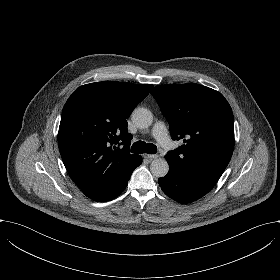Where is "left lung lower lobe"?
<instances>
[{"label":"left lung lower lobe","instance_id":"obj_1","mask_svg":"<svg viewBox=\"0 0 280 280\" xmlns=\"http://www.w3.org/2000/svg\"><path fill=\"white\" fill-rule=\"evenodd\" d=\"M168 161V160H167ZM168 174L158 182L164 193L175 201L187 204L207 194L217 183L219 175L200 170L188 171L168 161Z\"/></svg>","mask_w":280,"mask_h":280}]
</instances>
